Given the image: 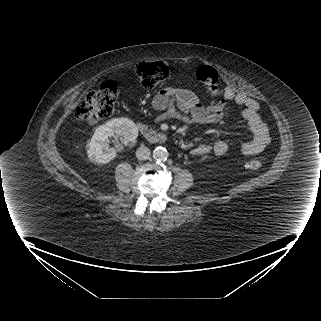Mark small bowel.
<instances>
[{"label":"small bowel","instance_id":"1","mask_svg":"<svg viewBox=\"0 0 321 321\" xmlns=\"http://www.w3.org/2000/svg\"><path fill=\"white\" fill-rule=\"evenodd\" d=\"M225 101L212 106H205L196 93L185 88H167L157 93L153 106L158 111L157 120L177 119L188 124H216L225 116L226 101L242 106L241 116L252 134L251 138L241 144L245 155L259 154L270 141L267 125L259 115V103L246 93L227 88ZM213 152L217 157H224L228 152V144L218 140L213 144H200L191 149L194 156H203Z\"/></svg>","mask_w":321,"mask_h":321}]
</instances>
